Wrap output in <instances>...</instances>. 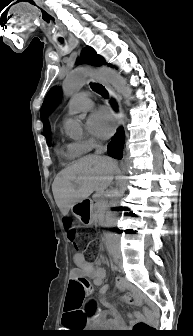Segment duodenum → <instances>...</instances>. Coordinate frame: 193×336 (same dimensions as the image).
I'll return each instance as SVG.
<instances>
[{"label":"duodenum","mask_w":193,"mask_h":336,"mask_svg":"<svg viewBox=\"0 0 193 336\" xmlns=\"http://www.w3.org/2000/svg\"><path fill=\"white\" fill-rule=\"evenodd\" d=\"M112 256L114 260H118L119 259V255L117 254L116 249H112Z\"/></svg>","instance_id":"duodenum-1"}]
</instances>
